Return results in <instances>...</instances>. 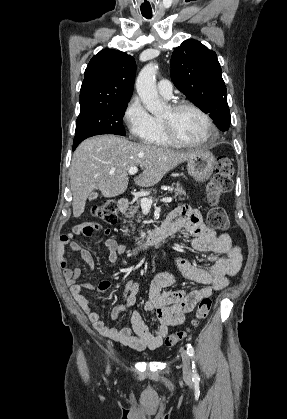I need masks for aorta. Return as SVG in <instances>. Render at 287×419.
Returning a JSON list of instances; mask_svg holds the SVG:
<instances>
[{"label": "aorta", "mask_w": 287, "mask_h": 419, "mask_svg": "<svg viewBox=\"0 0 287 419\" xmlns=\"http://www.w3.org/2000/svg\"><path fill=\"white\" fill-rule=\"evenodd\" d=\"M157 70L158 65L150 62L142 68L136 80V90L141 101L147 110L154 115L162 113L164 109L156 86Z\"/></svg>", "instance_id": "aorta-1"}]
</instances>
